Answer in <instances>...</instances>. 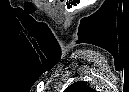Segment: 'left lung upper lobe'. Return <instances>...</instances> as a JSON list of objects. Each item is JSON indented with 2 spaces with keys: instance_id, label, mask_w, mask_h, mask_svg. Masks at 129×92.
I'll return each instance as SVG.
<instances>
[{
  "instance_id": "1",
  "label": "left lung upper lobe",
  "mask_w": 129,
  "mask_h": 92,
  "mask_svg": "<svg viewBox=\"0 0 129 92\" xmlns=\"http://www.w3.org/2000/svg\"><path fill=\"white\" fill-rule=\"evenodd\" d=\"M86 82H75L65 89L64 92H94Z\"/></svg>"
}]
</instances>
